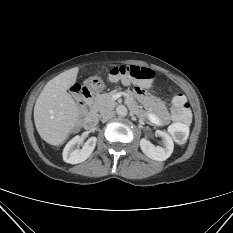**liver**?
I'll return each mask as SVG.
<instances>
[{
    "instance_id": "obj_1",
    "label": "liver",
    "mask_w": 233,
    "mask_h": 233,
    "mask_svg": "<svg viewBox=\"0 0 233 233\" xmlns=\"http://www.w3.org/2000/svg\"><path fill=\"white\" fill-rule=\"evenodd\" d=\"M74 67L51 79L41 91L34 106V122L40 137L53 146L65 142L78 125L81 111L67 92L77 79Z\"/></svg>"
}]
</instances>
